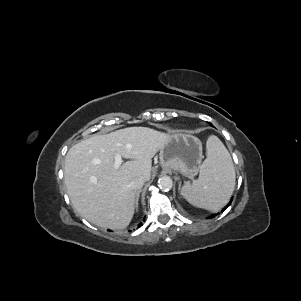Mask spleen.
I'll use <instances>...</instances> for the list:
<instances>
[{
	"label": "spleen",
	"instance_id": "obj_1",
	"mask_svg": "<svg viewBox=\"0 0 301 301\" xmlns=\"http://www.w3.org/2000/svg\"><path fill=\"white\" fill-rule=\"evenodd\" d=\"M207 158L199 178L181 189L182 196L193 206L218 212L227 204L235 188V169L231 156L216 136L206 143Z\"/></svg>",
	"mask_w": 301,
	"mask_h": 301
}]
</instances>
